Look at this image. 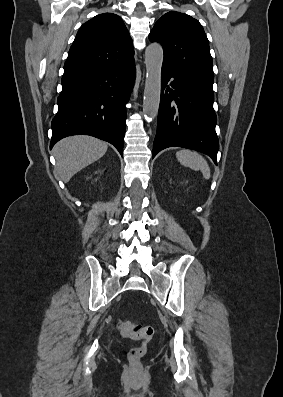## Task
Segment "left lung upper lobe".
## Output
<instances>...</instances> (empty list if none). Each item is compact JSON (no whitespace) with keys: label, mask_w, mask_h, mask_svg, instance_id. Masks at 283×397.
<instances>
[{"label":"left lung upper lobe","mask_w":283,"mask_h":397,"mask_svg":"<svg viewBox=\"0 0 283 397\" xmlns=\"http://www.w3.org/2000/svg\"><path fill=\"white\" fill-rule=\"evenodd\" d=\"M151 42H159L168 63L186 76L212 88L213 62L209 41L202 25L191 16L170 11L164 14L149 34Z\"/></svg>","instance_id":"5c2ea615"}]
</instances>
